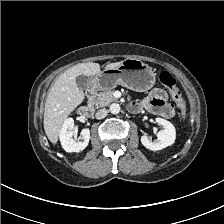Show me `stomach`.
Masks as SVG:
<instances>
[{"label": "stomach", "instance_id": "1", "mask_svg": "<svg viewBox=\"0 0 224 224\" xmlns=\"http://www.w3.org/2000/svg\"><path fill=\"white\" fill-rule=\"evenodd\" d=\"M156 81V73L139 59L127 58L115 68H104L92 77L91 85L96 90H108L122 85L138 92L150 90Z\"/></svg>", "mask_w": 224, "mask_h": 224}]
</instances>
